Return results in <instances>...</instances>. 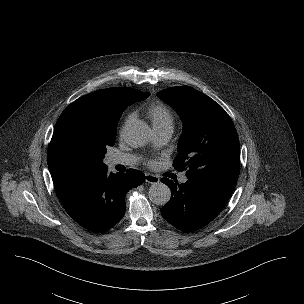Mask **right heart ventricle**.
<instances>
[{"mask_svg": "<svg viewBox=\"0 0 304 304\" xmlns=\"http://www.w3.org/2000/svg\"><path fill=\"white\" fill-rule=\"evenodd\" d=\"M154 129L171 128L174 125V116L171 110L164 104L154 103L147 111Z\"/></svg>", "mask_w": 304, "mask_h": 304, "instance_id": "e07e8e85", "label": "right heart ventricle"}]
</instances>
